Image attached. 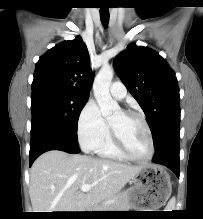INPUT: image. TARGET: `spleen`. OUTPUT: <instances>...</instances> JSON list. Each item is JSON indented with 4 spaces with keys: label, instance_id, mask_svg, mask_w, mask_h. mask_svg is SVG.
Returning <instances> with one entry per match:
<instances>
[{
    "label": "spleen",
    "instance_id": "spleen-1",
    "mask_svg": "<svg viewBox=\"0 0 203 219\" xmlns=\"http://www.w3.org/2000/svg\"><path fill=\"white\" fill-rule=\"evenodd\" d=\"M175 202H176V200H175V198H172L169 202H168V205H167V208L168 209H174L175 208Z\"/></svg>",
    "mask_w": 203,
    "mask_h": 219
}]
</instances>
